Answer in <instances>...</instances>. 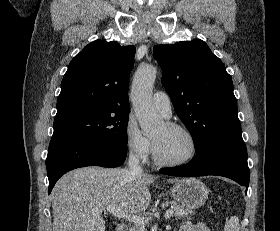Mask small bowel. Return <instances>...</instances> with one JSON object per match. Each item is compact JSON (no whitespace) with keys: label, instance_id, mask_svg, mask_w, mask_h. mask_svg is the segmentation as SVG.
Listing matches in <instances>:
<instances>
[{"label":"small bowel","instance_id":"1","mask_svg":"<svg viewBox=\"0 0 280 231\" xmlns=\"http://www.w3.org/2000/svg\"><path fill=\"white\" fill-rule=\"evenodd\" d=\"M180 231H209V228L204 223H192L186 221L180 227Z\"/></svg>","mask_w":280,"mask_h":231}]
</instances>
